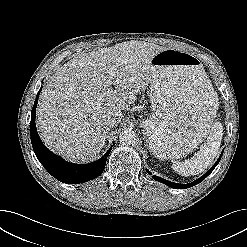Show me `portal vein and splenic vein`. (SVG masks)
Returning <instances> with one entry per match:
<instances>
[{"label":"portal vein and splenic vein","instance_id":"obj_1","mask_svg":"<svg viewBox=\"0 0 247 247\" xmlns=\"http://www.w3.org/2000/svg\"><path fill=\"white\" fill-rule=\"evenodd\" d=\"M115 69L114 68H110L109 70V75L111 76V78H115L116 74H115ZM113 92V89L110 87L107 89V93L110 94Z\"/></svg>","mask_w":247,"mask_h":247}]
</instances>
